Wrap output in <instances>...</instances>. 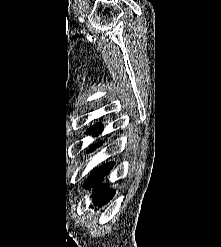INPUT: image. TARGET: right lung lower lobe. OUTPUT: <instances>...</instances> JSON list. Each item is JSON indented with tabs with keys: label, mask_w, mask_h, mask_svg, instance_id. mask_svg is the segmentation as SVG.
<instances>
[{
	"label": "right lung lower lobe",
	"mask_w": 221,
	"mask_h": 247,
	"mask_svg": "<svg viewBox=\"0 0 221 247\" xmlns=\"http://www.w3.org/2000/svg\"><path fill=\"white\" fill-rule=\"evenodd\" d=\"M101 131H102V126H98L89 129L87 131V134L98 135L99 133H101ZM98 146L99 144L91 146L88 152L94 151V149ZM113 165L114 163L110 162L102 165V167L100 168L94 169V171L92 172L91 176L88 178V181L85 184L87 188H92L95 186L93 199L96 205H101V206L105 205L110 201V199H112L115 193L113 190L110 191L108 189V184L106 185L101 184L102 178L104 177L105 174H107L112 169Z\"/></svg>",
	"instance_id": "1"
}]
</instances>
